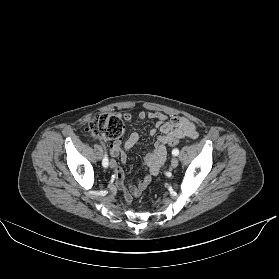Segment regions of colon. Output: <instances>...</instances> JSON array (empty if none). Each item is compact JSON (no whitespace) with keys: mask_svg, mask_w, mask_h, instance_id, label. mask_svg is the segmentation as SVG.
I'll return each instance as SVG.
<instances>
[{"mask_svg":"<svg viewBox=\"0 0 279 279\" xmlns=\"http://www.w3.org/2000/svg\"><path fill=\"white\" fill-rule=\"evenodd\" d=\"M90 134L97 139L116 140L124 133V124L121 119L115 115L101 113L96 115L88 124L87 129ZM186 139L172 137L168 145L175 146Z\"/></svg>","mask_w":279,"mask_h":279,"instance_id":"5ec220e1","label":"colon"}]
</instances>
